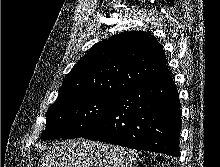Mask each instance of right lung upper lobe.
<instances>
[{
  "label": "right lung upper lobe",
  "mask_w": 220,
  "mask_h": 167,
  "mask_svg": "<svg viewBox=\"0 0 220 167\" xmlns=\"http://www.w3.org/2000/svg\"><path fill=\"white\" fill-rule=\"evenodd\" d=\"M167 75L165 53L157 40L143 31H126L92 46L65 76L58 99L116 96Z\"/></svg>",
  "instance_id": "obj_1"
}]
</instances>
